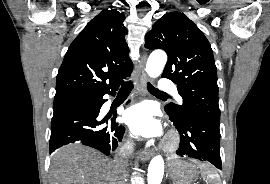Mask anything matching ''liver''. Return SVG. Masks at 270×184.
I'll use <instances>...</instances> for the list:
<instances>
[{
    "instance_id": "liver-1",
    "label": "liver",
    "mask_w": 270,
    "mask_h": 184,
    "mask_svg": "<svg viewBox=\"0 0 270 184\" xmlns=\"http://www.w3.org/2000/svg\"><path fill=\"white\" fill-rule=\"evenodd\" d=\"M113 161L80 144L60 148L52 157L51 184H117Z\"/></svg>"
}]
</instances>
